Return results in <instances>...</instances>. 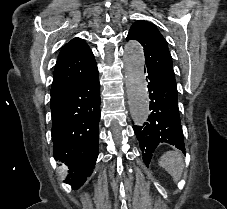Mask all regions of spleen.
Returning a JSON list of instances; mask_svg holds the SVG:
<instances>
[{"label": "spleen", "mask_w": 227, "mask_h": 209, "mask_svg": "<svg viewBox=\"0 0 227 209\" xmlns=\"http://www.w3.org/2000/svg\"><path fill=\"white\" fill-rule=\"evenodd\" d=\"M158 163L162 169H165V171L173 177L175 183L181 179L184 163L181 155H179L177 151H167V153H164V155L160 157Z\"/></svg>", "instance_id": "1"}]
</instances>
